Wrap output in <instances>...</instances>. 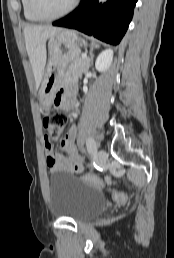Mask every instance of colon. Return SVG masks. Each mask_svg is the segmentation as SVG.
<instances>
[{
	"instance_id": "1",
	"label": "colon",
	"mask_w": 174,
	"mask_h": 258,
	"mask_svg": "<svg viewBox=\"0 0 174 258\" xmlns=\"http://www.w3.org/2000/svg\"><path fill=\"white\" fill-rule=\"evenodd\" d=\"M67 118L63 111L58 110L49 113L44 119V128L46 131V136L51 140L55 141L62 135ZM84 183L97 187L99 189H107L112 197L118 202H125L128 199V195L122 192H118L114 189L108 188L103 180L94 175H84L81 177Z\"/></svg>"
}]
</instances>
